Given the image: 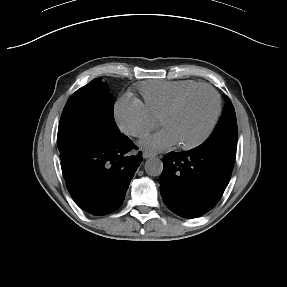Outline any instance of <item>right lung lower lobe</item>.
Returning <instances> with one entry per match:
<instances>
[{
	"mask_svg": "<svg viewBox=\"0 0 287 287\" xmlns=\"http://www.w3.org/2000/svg\"><path fill=\"white\" fill-rule=\"evenodd\" d=\"M132 148V141L121 133L61 160L67 189L79 207L101 216L114 212L121 205L142 161L141 152L137 156L126 154Z\"/></svg>",
	"mask_w": 287,
	"mask_h": 287,
	"instance_id": "1",
	"label": "right lung lower lobe"
}]
</instances>
